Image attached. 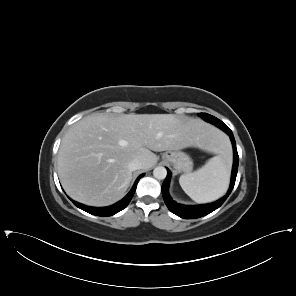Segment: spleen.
Returning a JSON list of instances; mask_svg holds the SVG:
<instances>
[{"label":"spleen","mask_w":296,"mask_h":296,"mask_svg":"<svg viewBox=\"0 0 296 296\" xmlns=\"http://www.w3.org/2000/svg\"><path fill=\"white\" fill-rule=\"evenodd\" d=\"M213 151L218 155L209 159L197 171L183 174L179 178L184 192L198 203L212 202L220 198L229 185L231 155L224 139L218 142Z\"/></svg>","instance_id":"spleen-1"}]
</instances>
